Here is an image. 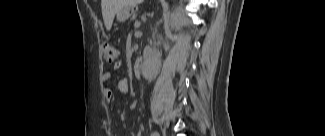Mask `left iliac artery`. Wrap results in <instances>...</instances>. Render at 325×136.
Returning <instances> with one entry per match:
<instances>
[{"instance_id":"obj_1","label":"left iliac artery","mask_w":325,"mask_h":136,"mask_svg":"<svg viewBox=\"0 0 325 136\" xmlns=\"http://www.w3.org/2000/svg\"><path fill=\"white\" fill-rule=\"evenodd\" d=\"M151 135L152 136H159V133L157 131H154Z\"/></svg>"}]
</instances>
